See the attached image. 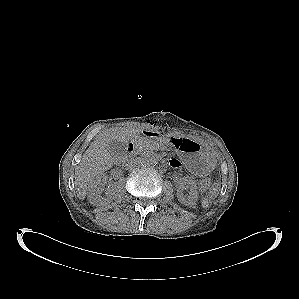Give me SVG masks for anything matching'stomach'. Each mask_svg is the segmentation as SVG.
<instances>
[{"mask_svg":"<svg viewBox=\"0 0 299 299\" xmlns=\"http://www.w3.org/2000/svg\"><path fill=\"white\" fill-rule=\"evenodd\" d=\"M162 142L174 147L182 156L185 165L195 173H205L210 169L211 156L198 141L188 137L165 136Z\"/></svg>","mask_w":299,"mask_h":299,"instance_id":"stomach-1","label":"stomach"}]
</instances>
